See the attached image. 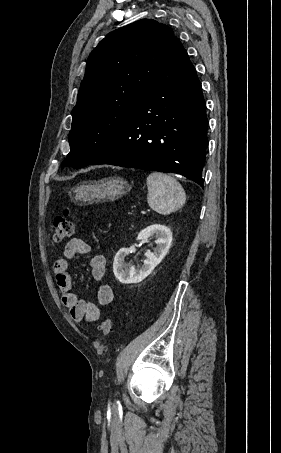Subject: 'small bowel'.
Instances as JSON below:
<instances>
[{"mask_svg": "<svg viewBox=\"0 0 281 453\" xmlns=\"http://www.w3.org/2000/svg\"><path fill=\"white\" fill-rule=\"evenodd\" d=\"M90 245L82 238H71L67 243L62 257L53 263V272L62 292V302L69 309L71 319L75 322L83 320L97 322L101 316V308L113 300V292L103 283L106 277L105 258L101 254H93L89 259L92 279L100 283L97 290V302H85L72 293V279L69 271V259L76 254H88Z\"/></svg>", "mask_w": 281, "mask_h": 453, "instance_id": "small-bowel-1", "label": "small bowel"}]
</instances>
